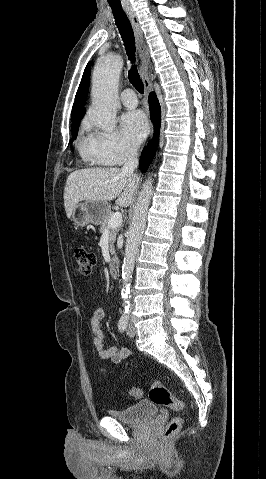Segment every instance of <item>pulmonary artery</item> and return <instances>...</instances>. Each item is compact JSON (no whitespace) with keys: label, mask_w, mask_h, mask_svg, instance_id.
Returning <instances> with one entry per match:
<instances>
[{"label":"pulmonary artery","mask_w":266,"mask_h":479,"mask_svg":"<svg viewBox=\"0 0 266 479\" xmlns=\"http://www.w3.org/2000/svg\"><path fill=\"white\" fill-rule=\"evenodd\" d=\"M121 101L128 108H134L138 104L135 91L131 88H127L122 92Z\"/></svg>","instance_id":"1"}]
</instances>
